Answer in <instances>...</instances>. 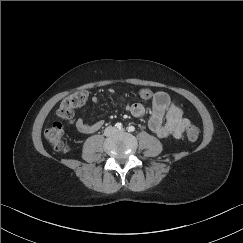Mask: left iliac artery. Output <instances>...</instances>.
Instances as JSON below:
<instances>
[{
  "mask_svg": "<svg viewBox=\"0 0 243 243\" xmlns=\"http://www.w3.org/2000/svg\"><path fill=\"white\" fill-rule=\"evenodd\" d=\"M126 129H127L128 132L135 131V127L134 126H128Z\"/></svg>",
  "mask_w": 243,
  "mask_h": 243,
  "instance_id": "44dca946",
  "label": "left iliac artery"
}]
</instances>
